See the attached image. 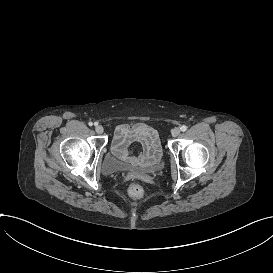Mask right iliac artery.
<instances>
[{
    "label": "right iliac artery",
    "mask_w": 273,
    "mask_h": 273,
    "mask_svg": "<svg viewBox=\"0 0 273 273\" xmlns=\"http://www.w3.org/2000/svg\"><path fill=\"white\" fill-rule=\"evenodd\" d=\"M93 125V123L92 122H89V126H92ZM94 125H97L96 123H94Z\"/></svg>",
    "instance_id": "obj_1"
}]
</instances>
